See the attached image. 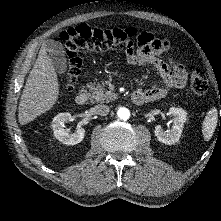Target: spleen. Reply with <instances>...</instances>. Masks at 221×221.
I'll use <instances>...</instances> for the list:
<instances>
[{"label":"spleen","instance_id":"3e777b00","mask_svg":"<svg viewBox=\"0 0 221 221\" xmlns=\"http://www.w3.org/2000/svg\"><path fill=\"white\" fill-rule=\"evenodd\" d=\"M218 121V112L216 108H212L208 111L203 124H202V133L204 135L205 140H209L217 126Z\"/></svg>","mask_w":221,"mask_h":221}]
</instances>
